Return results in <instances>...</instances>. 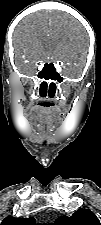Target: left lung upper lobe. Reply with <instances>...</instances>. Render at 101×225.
Instances as JSON below:
<instances>
[{"label": "left lung upper lobe", "mask_w": 101, "mask_h": 225, "mask_svg": "<svg viewBox=\"0 0 101 225\" xmlns=\"http://www.w3.org/2000/svg\"><path fill=\"white\" fill-rule=\"evenodd\" d=\"M53 225H101L95 214L88 209H79L72 216H61Z\"/></svg>", "instance_id": "1"}]
</instances>
